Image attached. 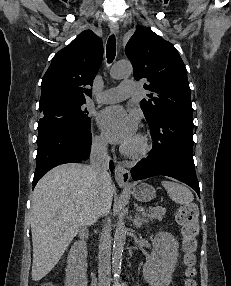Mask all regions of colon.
I'll list each match as a JSON object with an SVG mask.
<instances>
[{
  "mask_svg": "<svg viewBox=\"0 0 231 286\" xmlns=\"http://www.w3.org/2000/svg\"><path fill=\"white\" fill-rule=\"evenodd\" d=\"M176 219L181 226L183 237L184 263L186 266L185 286H197L195 281L197 236L199 234L198 208L194 203L181 206L177 212ZM41 286H54L51 283H44Z\"/></svg>",
  "mask_w": 231,
  "mask_h": 286,
  "instance_id": "colon-1",
  "label": "colon"
}]
</instances>
